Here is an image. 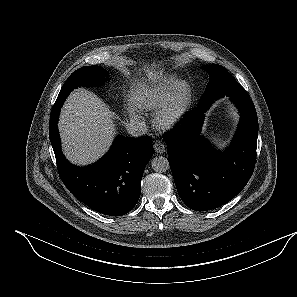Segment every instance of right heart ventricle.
I'll return each mask as SVG.
<instances>
[{
    "label": "right heart ventricle",
    "instance_id": "1",
    "mask_svg": "<svg viewBox=\"0 0 297 297\" xmlns=\"http://www.w3.org/2000/svg\"><path fill=\"white\" fill-rule=\"evenodd\" d=\"M178 83L174 77L138 83L131 94L132 102L137 108L153 110L167 100Z\"/></svg>",
    "mask_w": 297,
    "mask_h": 297
}]
</instances>
